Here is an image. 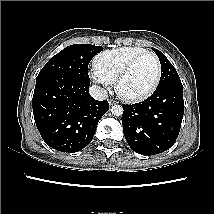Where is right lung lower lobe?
Listing matches in <instances>:
<instances>
[{
	"instance_id": "1",
	"label": "right lung lower lobe",
	"mask_w": 214,
	"mask_h": 214,
	"mask_svg": "<svg viewBox=\"0 0 214 214\" xmlns=\"http://www.w3.org/2000/svg\"><path fill=\"white\" fill-rule=\"evenodd\" d=\"M89 84L87 80L64 75L36 81L32 99L34 119L50 147L71 153L91 142L109 103L93 99Z\"/></svg>"
}]
</instances>
